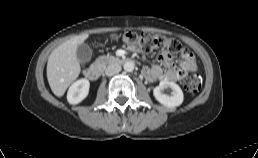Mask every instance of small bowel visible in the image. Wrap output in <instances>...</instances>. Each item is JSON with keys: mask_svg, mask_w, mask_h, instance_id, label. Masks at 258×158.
I'll return each instance as SVG.
<instances>
[{"mask_svg": "<svg viewBox=\"0 0 258 158\" xmlns=\"http://www.w3.org/2000/svg\"><path fill=\"white\" fill-rule=\"evenodd\" d=\"M158 60L160 64L143 70L144 76L151 81H181L197 69L195 58L190 52L183 55V60L179 66L172 62V57L168 53H161Z\"/></svg>", "mask_w": 258, "mask_h": 158, "instance_id": "obj_1", "label": "small bowel"}]
</instances>
